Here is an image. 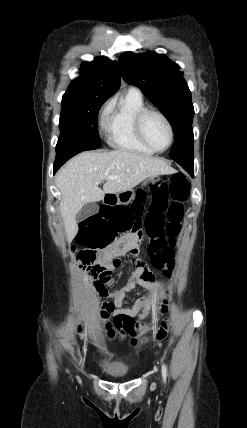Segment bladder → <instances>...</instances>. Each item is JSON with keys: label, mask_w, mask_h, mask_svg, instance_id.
<instances>
[{"label": "bladder", "mask_w": 247, "mask_h": 428, "mask_svg": "<svg viewBox=\"0 0 247 428\" xmlns=\"http://www.w3.org/2000/svg\"><path fill=\"white\" fill-rule=\"evenodd\" d=\"M100 368L102 372L112 378H126L129 375V367L122 361L103 357L100 360Z\"/></svg>", "instance_id": "obj_1"}]
</instances>
